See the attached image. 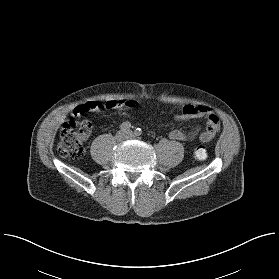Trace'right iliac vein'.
Listing matches in <instances>:
<instances>
[{"label":"right iliac vein","mask_w":279,"mask_h":279,"mask_svg":"<svg viewBox=\"0 0 279 279\" xmlns=\"http://www.w3.org/2000/svg\"><path fill=\"white\" fill-rule=\"evenodd\" d=\"M124 138H125V133H124V131L120 130V131H118V132L116 133V139H117L118 141H121V140H123Z\"/></svg>","instance_id":"1"}]
</instances>
